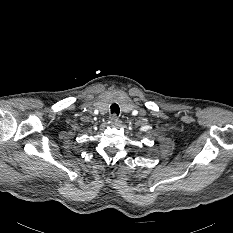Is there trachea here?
Returning <instances> with one entry per match:
<instances>
[{
  "mask_svg": "<svg viewBox=\"0 0 233 233\" xmlns=\"http://www.w3.org/2000/svg\"><path fill=\"white\" fill-rule=\"evenodd\" d=\"M110 108H111V113H112V114H115L116 116L119 115V113H120V108H119L118 104L114 103V104L111 105Z\"/></svg>",
  "mask_w": 233,
  "mask_h": 233,
  "instance_id": "trachea-1",
  "label": "trachea"
}]
</instances>
